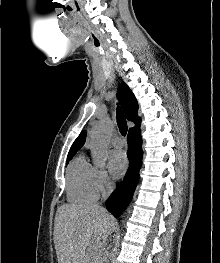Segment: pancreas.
I'll return each instance as SVG.
<instances>
[{"mask_svg": "<svg viewBox=\"0 0 220 263\" xmlns=\"http://www.w3.org/2000/svg\"><path fill=\"white\" fill-rule=\"evenodd\" d=\"M101 259H102V253L101 252H94L93 253V263H102V261H101Z\"/></svg>", "mask_w": 220, "mask_h": 263, "instance_id": "cf45deb5", "label": "pancreas"}]
</instances>
